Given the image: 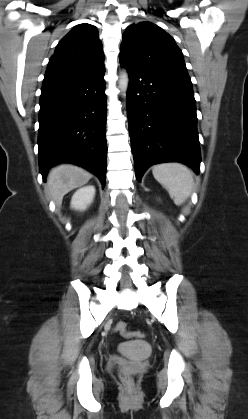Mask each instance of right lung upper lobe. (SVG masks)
Segmentation results:
<instances>
[{
	"label": "right lung upper lobe",
	"instance_id": "cb5924a9",
	"mask_svg": "<svg viewBox=\"0 0 248 419\" xmlns=\"http://www.w3.org/2000/svg\"><path fill=\"white\" fill-rule=\"evenodd\" d=\"M104 68V53L93 25L75 26L57 45L43 85L58 84L90 76Z\"/></svg>",
	"mask_w": 248,
	"mask_h": 419
}]
</instances>
